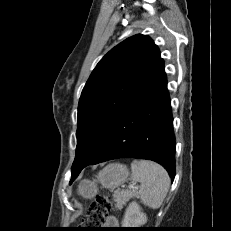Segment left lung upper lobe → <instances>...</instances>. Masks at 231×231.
<instances>
[{
	"instance_id": "5c2ea615",
	"label": "left lung upper lobe",
	"mask_w": 231,
	"mask_h": 231,
	"mask_svg": "<svg viewBox=\"0 0 231 231\" xmlns=\"http://www.w3.org/2000/svg\"><path fill=\"white\" fill-rule=\"evenodd\" d=\"M160 59L147 35H134L111 49L90 75L78 105L72 171L91 156L104 131Z\"/></svg>"
}]
</instances>
